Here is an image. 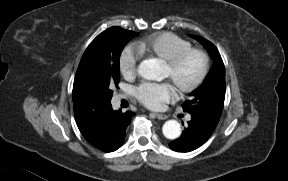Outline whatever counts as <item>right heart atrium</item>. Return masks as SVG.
<instances>
[{"label": "right heart atrium", "instance_id": "d8ad5b80", "mask_svg": "<svg viewBox=\"0 0 288 181\" xmlns=\"http://www.w3.org/2000/svg\"><path fill=\"white\" fill-rule=\"evenodd\" d=\"M140 57L141 53L133 45H129L123 49L119 57L118 65L124 77L133 78L136 75Z\"/></svg>", "mask_w": 288, "mask_h": 181}]
</instances>
